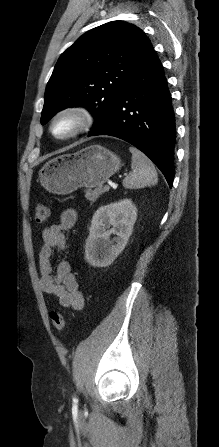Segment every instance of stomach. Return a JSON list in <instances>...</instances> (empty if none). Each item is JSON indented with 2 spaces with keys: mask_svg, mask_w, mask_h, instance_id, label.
<instances>
[{
  "mask_svg": "<svg viewBox=\"0 0 219 447\" xmlns=\"http://www.w3.org/2000/svg\"><path fill=\"white\" fill-rule=\"evenodd\" d=\"M121 167L120 158L100 145L57 156L39 171L41 185L50 193L70 194L81 187H100Z\"/></svg>",
  "mask_w": 219,
  "mask_h": 447,
  "instance_id": "0dacf381",
  "label": "stomach"
}]
</instances>
